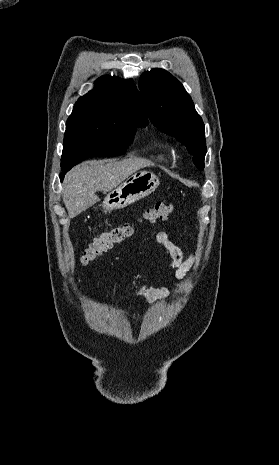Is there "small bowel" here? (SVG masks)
Returning a JSON list of instances; mask_svg holds the SVG:
<instances>
[{"label":"small bowel","mask_w":279,"mask_h":465,"mask_svg":"<svg viewBox=\"0 0 279 465\" xmlns=\"http://www.w3.org/2000/svg\"><path fill=\"white\" fill-rule=\"evenodd\" d=\"M157 242L161 244L169 253L172 266L175 269V283L177 284L184 278L187 272L191 269L195 262V257L192 253L184 256L182 249L174 244L164 231H160L156 236ZM169 290L167 287H150L142 286L137 292L136 297L145 303H152L156 300L167 297Z\"/></svg>","instance_id":"1"}]
</instances>
